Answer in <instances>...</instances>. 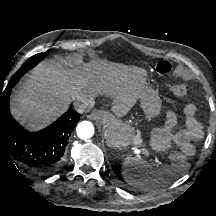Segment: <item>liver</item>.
<instances>
[{"instance_id":"6515ba94","label":"liver","mask_w":216,"mask_h":216,"mask_svg":"<svg viewBox=\"0 0 216 216\" xmlns=\"http://www.w3.org/2000/svg\"><path fill=\"white\" fill-rule=\"evenodd\" d=\"M136 68L94 64L86 72L66 71L56 61L37 66L11 100L13 115L29 130H39L68 108L71 98L104 92L116 96L114 111L129 110L143 90Z\"/></svg>"}]
</instances>
